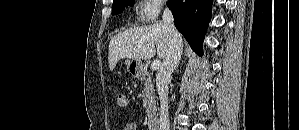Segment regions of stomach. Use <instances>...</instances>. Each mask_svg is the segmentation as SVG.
Here are the masks:
<instances>
[{
  "instance_id": "stomach-1",
  "label": "stomach",
  "mask_w": 299,
  "mask_h": 130,
  "mask_svg": "<svg viewBox=\"0 0 299 130\" xmlns=\"http://www.w3.org/2000/svg\"><path fill=\"white\" fill-rule=\"evenodd\" d=\"M125 64L127 66L129 73L133 75H138L143 68L142 61H138V60L127 59L125 61Z\"/></svg>"
}]
</instances>
